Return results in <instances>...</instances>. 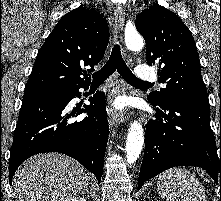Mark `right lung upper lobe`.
Masks as SVG:
<instances>
[{
  "instance_id": "1",
  "label": "right lung upper lobe",
  "mask_w": 221,
  "mask_h": 201,
  "mask_svg": "<svg viewBox=\"0 0 221 201\" xmlns=\"http://www.w3.org/2000/svg\"><path fill=\"white\" fill-rule=\"evenodd\" d=\"M109 28L103 14L79 7L57 23L40 48L25 89L54 90L90 83L85 66L94 71L104 56ZM83 76V78H82Z\"/></svg>"
}]
</instances>
